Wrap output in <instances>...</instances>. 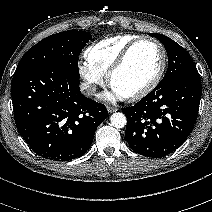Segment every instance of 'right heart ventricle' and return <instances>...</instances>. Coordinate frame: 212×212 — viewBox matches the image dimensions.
<instances>
[{"instance_id": "e07e8e85", "label": "right heart ventricle", "mask_w": 212, "mask_h": 212, "mask_svg": "<svg viewBox=\"0 0 212 212\" xmlns=\"http://www.w3.org/2000/svg\"><path fill=\"white\" fill-rule=\"evenodd\" d=\"M137 38L139 36L135 34H120L103 39L86 49L85 58L105 75L126 46Z\"/></svg>"}]
</instances>
